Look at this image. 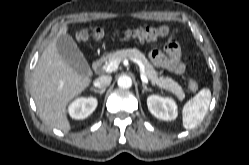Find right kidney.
Returning a JSON list of instances; mask_svg holds the SVG:
<instances>
[{
  "instance_id": "ca27d5eb",
  "label": "right kidney",
  "mask_w": 249,
  "mask_h": 165,
  "mask_svg": "<svg viewBox=\"0 0 249 165\" xmlns=\"http://www.w3.org/2000/svg\"><path fill=\"white\" fill-rule=\"evenodd\" d=\"M97 104V99L93 97L78 98L69 105L68 112L74 119H85L93 113Z\"/></svg>"
}]
</instances>
